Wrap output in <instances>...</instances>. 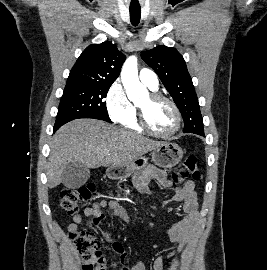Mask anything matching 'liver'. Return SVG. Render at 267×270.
I'll return each mask as SVG.
<instances>
[{"label":"liver","mask_w":267,"mask_h":270,"mask_svg":"<svg viewBox=\"0 0 267 270\" xmlns=\"http://www.w3.org/2000/svg\"><path fill=\"white\" fill-rule=\"evenodd\" d=\"M163 143L96 119L71 121L52 138L47 185L57 187L62 182L63 169L69 163H81L87 168L121 166Z\"/></svg>","instance_id":"obj_1"}]
</instances>
